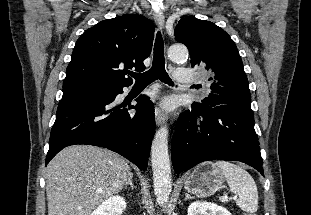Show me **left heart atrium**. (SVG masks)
<instances>
[{
	"label": "left heart atrium",
	"mask_w": 311,
	"mask_h": 215,
	"mask_svg": "<svg viewBox=\"0 0 311 215\" xmlns=\"http://www.w3.org/2000/svg\"><path fill=\"white\" fill-rule=\"evenodd\" d=\"M171 107L172 106H171L170 102H168V101L163 102V108L170 109Z\"/></svg>",
	"instance_id": "1"
}]
</instances>
